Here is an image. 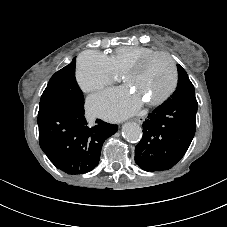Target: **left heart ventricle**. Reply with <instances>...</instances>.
I'll return each mask as SVG.
<instances>
[{"label":"left heart ventricle","instance_id":"b2bd125f","mask_svg":"<svg viewBox=\"0 0 227 227\" xmlns=\"http://www.w3.org/2000/svg\"><path fill=\"white\" fill-rule=\"evenodd\" d=\"M172 79L170 62L160 56L152 59L141 71L125 81L141 101L148 102L163 95L169 89Z\"/></svg>","mask_w":227,"mask_h":227}]
</instances>
